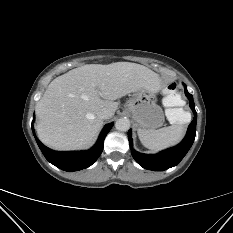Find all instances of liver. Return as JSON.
Segmentation results:
<instances>
[{
  "label": "liver",
  "instance_id": "obj_1",
  "mask_svg": "<svg viewBox=\"0 0 233 233\" xmlns=\"http://www.w3.org/2000/svg\"><path fill=\"white\" fill-rule=\"evenodd\" d=\"M145 88L159 90L153 71L131 63L88 64L55 78L36 105L39 139L56 150H74L92 143L103 120L102 109L113 115L115 100Z\"/></svg>",
  "mask_w": 233,
  "mask_h": 233
}]
</instances>
